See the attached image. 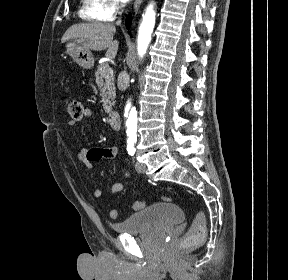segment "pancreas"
Segmentation results:
<instances>
[{
  "mask_svg": "<svg viewBox=\"0 0 288 280\" xmlns=\"http://www.w3.org/2000/svg\"><path fill=\"white\" fill-rule=\"evenodd\" d=\"M109 69V65L107 63H103L97 67V71L95 72L96 84L100 88L103 109L106 113L111 112L116 97V88L113 76L107 77V72Z\"/></svg>",
  "mask_w": 288,
  "mask_h": 280,
  "instance_id": "obj_1",
  "label": "pancreas"
}]
</instances>
